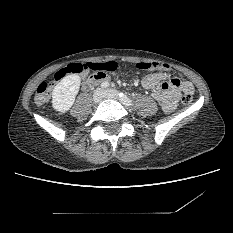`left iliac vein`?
Segmentation results:
<instances>
[{"label": "left iliac vein", "mask_w": 233, "mask_h": 233, "mask_svg": "<svg viewBox=\"0 0 233 233\" xmlns=\"http://www.w3.org/2000/svg\"><path fill=\"white\" fill-rule=\"evenodd\" d=\"M104 96L109 99L118 100L119 99V92L117 90L109 89L104 92Z\"/></svg>", "instance_id": "left-iliac-vein-1"}]
</instances>
